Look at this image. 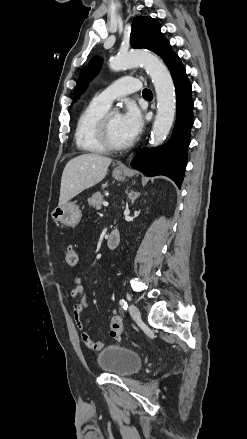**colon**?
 I'll list each match as a JSON object with an SVG mask.
<instances>
[{"instance_id": "5ec220e1", "label": "colon", "mask_w": 247, "mask_h": 439, "mask_svg": "<svg viewBox=\"0 0 247 439\" xmlns=\"http://www.w3.org/2000/svg\"><path fill=\"white\" fill-rule=\"evenodd\" d=\"M68 265L75 266L78 263V255L75 249L68 248L65 253ZM122 332V319L118 314H114L110 322V334L112 337H119Z\"/></svg>"}]
</instances>
